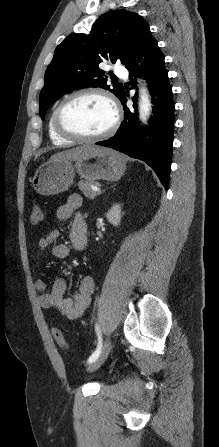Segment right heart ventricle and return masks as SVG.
Returning a JSON list of instances; mask_svg holds the SVG:
<instances>
[{
    "label": "right heart ventricle",
    "instance_id": "1",
    "mask_svg": "<svg viewBox=\"0 0 219 447\" xmlns=\"http://www.w3.org/2000/svg\"><path fill=\"white\" fill-rule=\"evenodd\" d=\"M54 111L55 109L52 110L49 119H48V123H47V131H48V136L49 139L56 144H65V143H71L73 142V140L67 139L61 135H59L55 128H54V124H53V115H54Z\"/></svg>",
    "mask_w": 219,
    "mask_h": 447
}]
</instances>
